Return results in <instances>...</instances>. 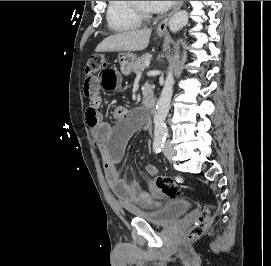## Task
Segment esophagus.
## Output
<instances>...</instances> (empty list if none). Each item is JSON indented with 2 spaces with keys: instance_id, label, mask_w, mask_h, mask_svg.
I'll list each match as a JSON object with an SVG mask.
<instances>
[{
  "instance_id": "1",
  "label": "esophagus",
  "mask_w": 271,
  "mask_h": 266,
  "mask_svg": "<svg viewBox=\"0 0 271 266\" xmlns=\"http://www.w3.org/2000/svg\"><path fill=\"white\" fill-rule=\"evenodd\" d=\"M184 1H178L173 10L163 19V21L156 28L157 33H163L167 30L170 18L182 7Z\"/></svg>"
}]
</instances>
